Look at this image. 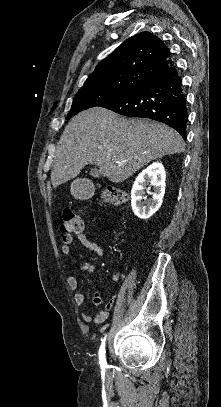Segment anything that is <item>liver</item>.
Here are the masks:
<instances>
[{"label": "liver", "instance_id": "1", "mask_svg": "<svg viewBox=\"0 0 221 407\" xmlns=\"http://www.w3.org/2000/svg\"><path fill=\"white\" fill-rule=\"evenodd\" d=\"M185 149L171 127L147 119H127L101 107L80 112L66 125L51 170L54 188L75 178L89 164L121 183L150 161Z\"/></svg>", "mask_w": 221, "mask_h": 407}]
</instances>
